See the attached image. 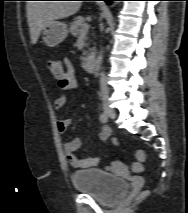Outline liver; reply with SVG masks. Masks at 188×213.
Masks as SVG:
<instances>
[{"mask_svg": "<svg viewBox=\"0 0 188 213\" xmlns=\"http://www.w3.org/2000/svg\"><path fill=\"white\" fill-rule=\"evenodd\" d=\"M80 6V1H29L26 10L31 43H37L46 25L75 14Z\"/></svg>", "mask_w": 188, "mask_h": 213, "instance_id": "obj_1", "label": "liver"}]
</instances>
